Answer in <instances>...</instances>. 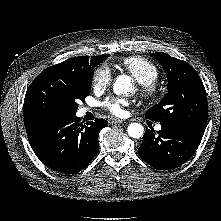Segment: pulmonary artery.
<instances>
[{
	"label": "pulmonary artery",
	"mask_w": 221,
	"mask_h": 221,
	"mask_svg": "<svg viewBox=\"0 0 221 221\" xmlns=\"http://www.w3.org/2000/svg\"><path fill=\"white\" fill-rule=\"evenodd\" d=\"M156 129H157V130H161V125H157V126H156Z\"/></svg>",
	"instance_id": "pulmonary-artery-1"
}]
</instances>
